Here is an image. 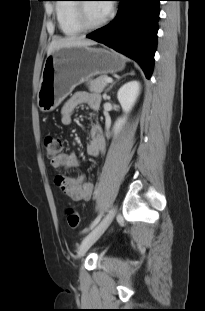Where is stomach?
I'll list each match as a JSON object with an SVG mask.
<instances>
[{"mask_svg":"<svg viewBox=\"0 0 205 311\" xmlns=\"http://www.w3.org/2000/svg\"><path fill=\"white\" fill-rule=\"evenodd\" d=\"M124 67L122 56L104 48L74 46L55 50L44 62L37 104L44 112L53 111L77 85Z\"/></svg>","mask_w":205,"mask_h":311,"instance_id":"stomach-1","label":"stomach"}]
</instances>
